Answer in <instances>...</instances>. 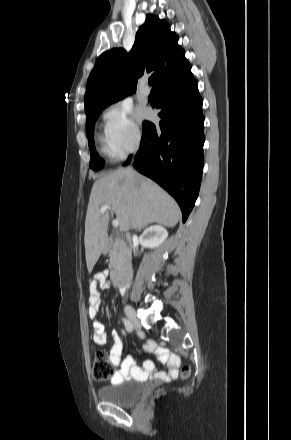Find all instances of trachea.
Wrapping results in <instances>:
<instances>
[{"label": "trachea", "mask_w": 291, "mask_h": 440, "mask_svg": "<svg viewBox=\"0 0 291 440\" xmlns=\"http://www.w3.org/2000/svg\"><path fill=\"white\" fill-rule=\"evenodd\" d=\"M148 83H149V85L151 86V85H152V80L149 79V80H148Z\"/></svg>", "instance_id": "obj_1"}]
</instances>
